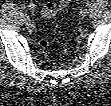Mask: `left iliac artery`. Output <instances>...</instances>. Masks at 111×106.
Here are the masks:
<instances>
[{
    "label": "left iliac artery",
    "mask_w": 111,
    "mask_h": 106,
    "mask_svg": "<svg viewBox=\"0 0 111 106\" xmlns=\"http://www.w3.org/2000/svg\"><path fill=\"white\" fill-rule=\"evenodd\" d=\"M86 5H87V6H88V5H90V2H89V1H87V2H86Z\"/></svg>",
    "instance_id": "44dca946"
}]
</instances>
